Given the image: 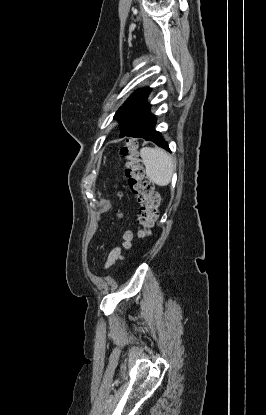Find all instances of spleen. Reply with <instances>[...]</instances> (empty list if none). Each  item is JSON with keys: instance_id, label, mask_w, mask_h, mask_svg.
<instances>
[{"instance_id": "obj_1", "label": "spleen", "mask_w": 266, "mask_h": 415, "mask_svg": "<svg viewBox=\"0 0 266 415\" xmlns=\"http://www.w3.org/2000/svg\"><path fill=\"white\" fill-rule=\"evenodd\" d=\"M140 155L148 179L158 186H167L175 169L173 158L166 151L151 147L142 148Z\"/></svg>"}]
</instances>
